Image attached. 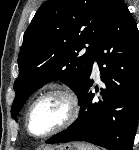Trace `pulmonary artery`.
<instances>
[{
    "instance_id": "e3ab8cb5",
    "label": "pulmonary artery",
    "mask_w": 139,
    "mask_h": 150,
    "mask_svg": "<svg viewBox=\"0 0 139 150\" xmlns=\"http://www.w3.org/2000/svg\"><path fill=\"white\" fill-rule=\"evenodd\" d=\"M93 70L96 74H98V65H97L96 61L94 62Z\"/></svg>"
}]
</instances>
